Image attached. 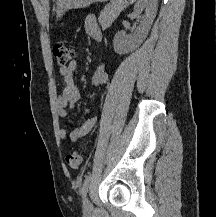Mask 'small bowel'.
<instances>
[{
    "mask_svg": "<svg viewBox=\"0 0 216 217\" xmlns=\"http://www.w3.org/2000/svg\"><path fill=\"white\" fill-rule=\"evenodd\" d=\"M85 28L88 35L95 41H101L102 33L93 16L87 17L85 21ZM77 68V62L71 61L66 66L59 68V73L64 79L65 87L62 93L56 99V111L60 117H64L68 113V109L72 108L81 98L80 91L75 85L74 74ZM108 81V74L106 72V65L103 63L99 66L96 73L91 79V84L95 87L102 86ZM97 122V117L92 116L88 118L81 126L73 129L69 135L65 128H59V137L62 140L69 138L72 142H77L90 133Z\"/></svg>",
    "mask_w": 216,
    "mask_h": 217,
    "instance_id": "small-bowel-1",
    "label": "small bowel"
}]
</instances>
